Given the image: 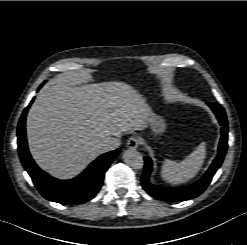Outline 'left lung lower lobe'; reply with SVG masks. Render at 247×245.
Here are the masks:
<instances>
[{
	"mask_svg": "<svg viewBox=\"0 0 247 245\" xmlns=\"http://www.w3.org/2000/svg\"><path fill=\"white\" fill-rule=\"evenodd\" d=\"M217 119L219 120L221 128V139L218 148V154L214 159L212 165L204 176L196 183L182 187V188H166L153 186L149 183V176L152 172V160L146 156L145 166L141 177V184L143 188L153 197L167 201V202H178L195 198L200 195L209 185L213 175L222 164L226 150H227V136H228V123L224 109L217 103H208Z\"/></svg>",
	"mask_w": 247,
	"mask_h": 245,
	"instance_id": "left-lung-lower-lobe-1",
	"label": "left lung lower lobe"
}]
</instances>
